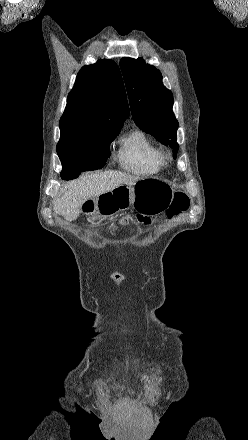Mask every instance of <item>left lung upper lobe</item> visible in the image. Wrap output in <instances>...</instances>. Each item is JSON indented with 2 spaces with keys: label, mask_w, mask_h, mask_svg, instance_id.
Here are the masks:
<instances>
[{
  "label": "left lung upper lobe",
  "mask_w": 248,
  "mask_h": 440,
  "mask_svg": "<svg viewBox=\"0 0 248 440\" xmlns=\"http://www.w3.org/2000/svg\"><path fill=\"white\" fill-rule=\"evenodd\" d=\"M120 67L134 122L142 131L173 148L175 158L179 147L178 121L172 111V92L163 86L160 71L142 58H123Z\"/></svg>",
  "instance_id": "obj_1"
}]
</instances>
